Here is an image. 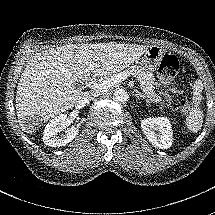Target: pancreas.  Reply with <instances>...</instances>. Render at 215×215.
Listing matches in <instances>:
<instances>
[{"label":"pancreas","mask_w":215,"mask_h":215,"mask_svg":"<svg viewBox=\"0 0 215 215\" xmlns=\"http://www.w3.org/2000/svg\"><path fill=\"white\" fill-rule=\"evenodd\" d=\"M126 71L140 83L141 93L148 102L157 104L162 111L166 109V105L155 92V78L151 72L140 65H131Z\"/></svg>","instance_id":"cf45deb5"}]
</instances>
